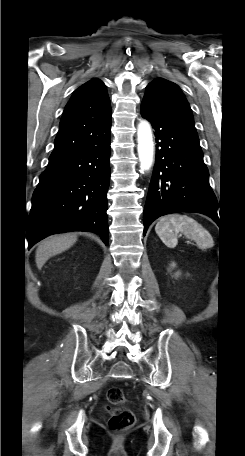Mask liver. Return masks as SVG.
<instances>
[{"label": "liver", "mask_w": 245, "mask_h": 456, "mask_svg": "<svg viewBox=\"0 0 245 456\" xmlns=\"http://www.w3.org/2000/svg\"><path fill=\"white\" fill-rule=\"evenodd\" d=\"M76 240V234L66 233L52 236L42 241L36 249L35 261L37 268L40 270L48 259L69 249Z\"/></svg>", "instance_id": "6515ba94"}]
</instances>
